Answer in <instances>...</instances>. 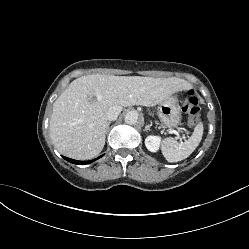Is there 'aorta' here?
Masks as SVG:
<instances>
[{
	"mask_svg": "<svg viewBox=\"0 0 249 249\" xmlns=\"http://www.w3.org/2000/svg\"><path fill=\"white\" fill-rule=\"evenodd\" d=\"M138 121V113L136 111H129L125 115V122L130 125L136 124Z\"/></svg>",
	"mask_w": 249,
	"mask_h": 249,
	"instance_id": "1",
	"label": "aorta"
}]
</instances>
